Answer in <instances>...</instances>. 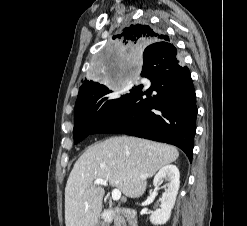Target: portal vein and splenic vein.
Instances as JSON below:
<instances>
[{"instance_id": "obj_1", "label": "portal vein and splenic vein", "mask_w": 247, "mask_h": 226, "mask_svg": "<svg viewBox=\"0 0 247 226\" xmlns=\"http://www.w3.org/2000/svg\"><path fill=\"white\" fill-rule=\"evenodd\" d=\"M94 185H104L108 186L107 180L104 179H95L94 180ZM121 198V191L119 189H113L112 190V199L114 201H117Z\"/></svg>"}]
</instances>
